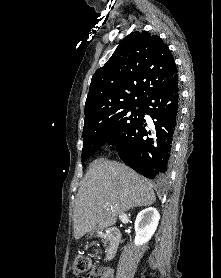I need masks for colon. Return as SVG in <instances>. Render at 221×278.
<instances>
[{
  "mask_svg": "<svg viewBox=\"0 0 221 278\" xmlns=\"http://www.w3.org/2000/svg\"><path fill=\"white\" fill-rule=\"evenodd\" d=\"M71 267L78 278H84L83 275H89L93 270L92 261L83 255L74 256L71 260Z\"/></svg>",
  "mask_w": 221,
  "mask_h": 278,
  "instance_id": "colon-1",
  "label": "colon"
}]
</instances>
